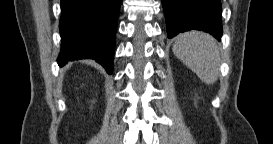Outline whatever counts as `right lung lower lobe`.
I'll list each match as a JSON object with an SVG mask.
<instances>
[{
	"label": "right lung lower lobe",
	"instance_id": "1",
	"mask_svg": "<svg viewBox=\"0 0 273 144\" xmlns=\"http://www.w3.org/2000/svg\"><path fill=\"white\" fill-rule=\"evenodd\" d=\"M121 0H61V51L58 64L94 59L109 74Z\"/></svg>",
	"mask_w": 273,
	"mask_h": 144
}]
</instances>
